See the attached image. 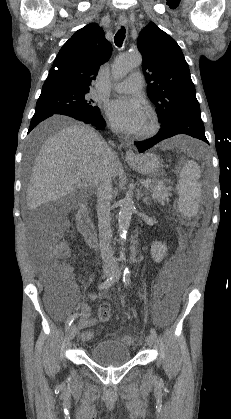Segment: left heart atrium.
I'll return each instance as SVG.
<instances>
[{
  "mask_svg": "<svg viewBox=\"0 0 231 419\" xmlns=\"http://www.w3.org/2000/svg\"><path fill=\"white\" fill-rule=\"evenodd\" d=\"M107 113L118 128L130 133L140 132L146 118L145 109L137 99H116L108 104Z\"/></svg>",
  "mask_w": 231,
  "mask_h": 419,
  "instance_id": "1",
  "label": "left heart atrium"
}]
</instances>
